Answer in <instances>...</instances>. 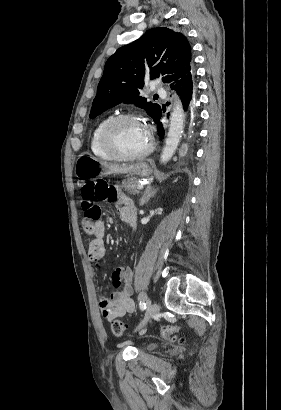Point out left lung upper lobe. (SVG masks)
Returning a JSON list of instances; mask_svg holds the SVG:
<instances>
[{
    "instance_id": "left-lung-upper-lobe-1",
    "label": "left lung upper lobe",
    "mask_w": 281,
    "mask_h": 410,
    "mask_svg": "<svg viewBox=\"0 0 281 410\" xmlns=\"http://www.w3.org/2000/svg\"><path fill=\"white\" fill-rule=\"evenodd\" d=\"M191 71V47L187 38L169 28L150 29L107 60L89 117L95 118L124 102L145 109L154 120L161 107L139 95L144 79L162 77L167 83L178 82Z\"/></svg>"
}]
</instances>
